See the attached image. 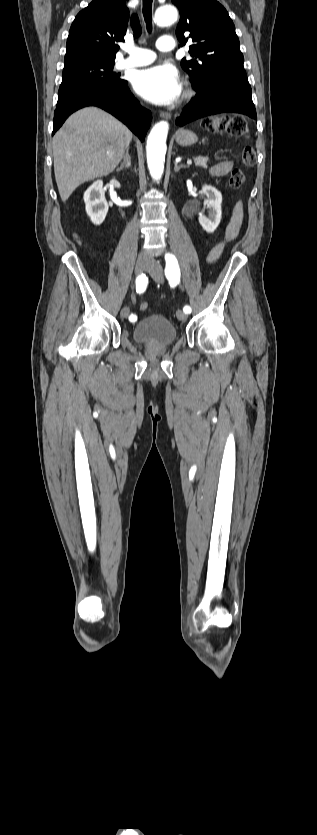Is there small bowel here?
<instances>
[{"mask_svg":"<svg viewBox=\"0 0 317 835\" xmlns=\"http://www.w3.org/2000/svg\"><path fill=\"white\" fill-rule=\"evenodd\" d=\"M233 167L232 161H222L211 167L210 173L215 177H222L227 175ZM242 210L237 206L234 210L232 219L226 228L225 239L227 241L233 240L239 233L242 224ZM223 244H218L210 250L207 255V261L214 263L220 256Z\"/></svg>","mask_w":317,"mask_h":835,"instance_id":"1","label":"small bowel"}]
</instances>
